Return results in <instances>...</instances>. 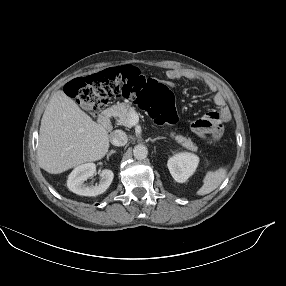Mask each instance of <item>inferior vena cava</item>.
Masks as SVG:
<instances>
[{
  "instance_id": "1",
  "label": "inferior vena cava",
  "mask_w": 286,
  "mask_h": 286,
  "mask_svg": "<svg viewBox=\"0 0 286 286\" xmlns=\"http://www.w3.org/2000/svg\"><path fill=\"white\" fill-rule=\"evenodd\" d=\"M128 141L127 135L122 130H115L111 133V143L116 147L126 145Z\"/></svg>"
}]
</instances>
